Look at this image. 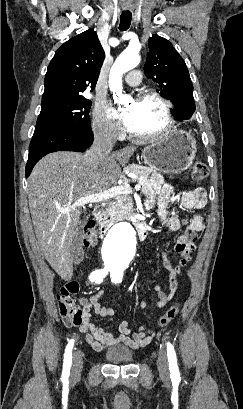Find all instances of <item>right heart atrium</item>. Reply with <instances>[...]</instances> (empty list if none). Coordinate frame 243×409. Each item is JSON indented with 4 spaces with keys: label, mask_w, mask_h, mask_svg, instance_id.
Instances as JSON below:
<instances>
[{
    "label": "right heart atrium",
    "mask_w": 243,
    "mask_h": 409,
    "mask_svg": "<svg viewBox=\"0 0 243 409\" xmlns=\"http://www.w3.org/2000/svg\"><path fill=\"white\" fill-rule=\"evenodd\" d=\"M91 128L96 139L112 143L119 138V131L116 125L106 114V106L98 104L92 115Z\"/></svg>",
    "instance_id": "d8ad5b80"
}]
</instances>
